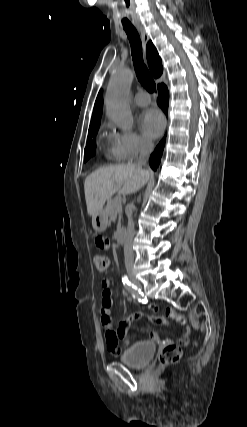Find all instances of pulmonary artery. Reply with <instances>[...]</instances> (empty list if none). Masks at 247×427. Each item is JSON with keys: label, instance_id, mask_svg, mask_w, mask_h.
<instances>
[{"label": "pulmonary artery", "instance_id": "e3ab8cb5", "mask_svg": "<svg viewBox=\"0 0 247 427\" xmlns=\"http://www.w3.org/2000/svg\"><path fill=\"white\" fill-rule=\"evenodd\" d=\"M150 101V97L144 93H139L134 98V102L138 106H146L150 103Z\"/></svg>", "mask_w": 247, "mask_h": 427}]
</instances>
